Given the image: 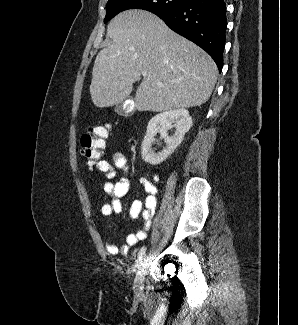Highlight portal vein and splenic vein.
<instances>
[{
    "instance_id": "obj_1",
    "label": "portal vein and splenic vein",
    "mask_w": 298,
    "mask_h": 325,
    "mask_svg": "<svg viewBox=\"0 0 298 325\" xmlns=\"http://www.w3.org/2000/svg\"><path fill=\"white\" fill-rule=\"evenodd\" d=\"M143 76H146V72H142ZM158 84H162V82H158Z\"/></svg>"
}]
</instances>
